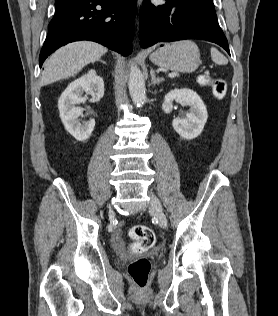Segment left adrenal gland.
Instances as JSON below:
<instances>
[{
  "label": "left adrenal gland",
  "instance_id": "1",
  "mask_svg": "<svg viewBox=\"0 0 278 316\" xmlns=\"http://www.w3.org/2000/svg\"><path fill=\"white\" fill-rule=\"evenodd\" d=\"M150 74L152 85H159L161 82L164 81V78L156 77L155 71L153 69H151Z\"/></svg>",
  "mask_w": 278,
  "mask_h": 316
}]
</instances>
